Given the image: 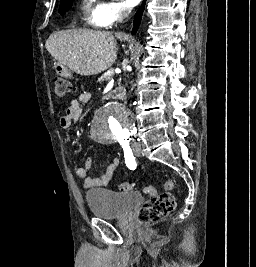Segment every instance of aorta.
<instances>
[{"label":"aorta","mask_w":256,"mask_h":267,"mask_svg":"<svg viewBox=\"0 0 256 267\" xmlns=\"http://www.w3.org/2000/svg\"><path fill=\"white\" fill-rule=\"evenodd\" d=\"M94 127H131L128 108L109 101L106 108H99L98 117H93ZM117 133H126V128H91L90 138L96 143H113Z\"/></svg>","instance_id":"762f6f07"}]
</instances>
